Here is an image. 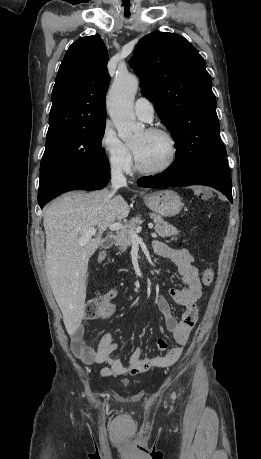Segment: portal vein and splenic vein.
<instances>
[{
    "label": "portal vein and splenic vein",
    "mask_w": 261,
    "mask_h": 459,
    "mask_svg": "<svg viewBox=\"0 0 261 459\" xmlns=\"http://www.w3.org/2000/svg\"><path fill=\"white\" fill-rule=\"evenodd\" d=\"M123 227H124L123 224H121V223H119V222L113 223V224H111V225L109 226V228H110L111 231L122 230ZM148 227H149L150 229H152V228H153V224H152V223H149V224H148ZM140 231H141V227H140V226L137 227L136 230L131 231L130 233H131L132 239H138V233H139ZM95 234H96V228H95V227H91V228H89V229L84 233V235H83L81 238H79L77 241H78V243H79L81 246H84V245H86V244L90 241L91 237H92L93 235H95Z\"/></svg>",
    "instance_id": "portal-vein-and-splenic-vein-1"
}]
</instances>
